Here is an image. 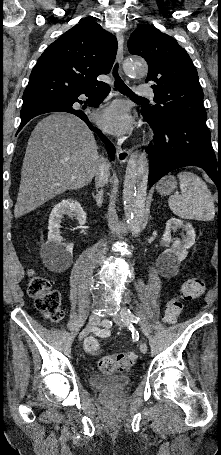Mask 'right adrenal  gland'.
<instances>
[{"instance_id": "obj_1", "label": "right adrenal gland", "mask_w": 221, "mask_h": 455, "mask_svg": "<svg viewBox=\"0 0 221 455\" xmlns=\"http://www.w3.org/2000/svg\"><path fill=\"white\" fill-rule=\"evenodd\" d=\"M92 197L94 198L97 206L101 207L103 204V190L100 189L99 191H97L96 195L94 193H92Z\"/></svg>"}]
</instances>
